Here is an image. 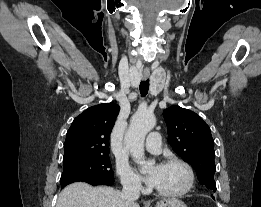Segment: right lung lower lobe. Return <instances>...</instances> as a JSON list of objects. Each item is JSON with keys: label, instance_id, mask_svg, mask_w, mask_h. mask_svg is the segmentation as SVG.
<instances>
[{"label": "right lung lower lobe", "instance_id": "1", "mask_svg": "<svg viewBox=\"0 0 261 207\" xmlns=\"http://www.w3.org/2000/svg\"><path fill=\"white\" fill-rule=\"evenodd\" d=\"M77 181H82V182H86L89 183L91 185H113L114 184V179L113 178H88V179H82V180H75V181H71L68 183H64L61 184V189L64 188L66 185L73 183V182H77Z\"/></svg>", "mask_w": 261, "mask_h": 207}]
</instances>
